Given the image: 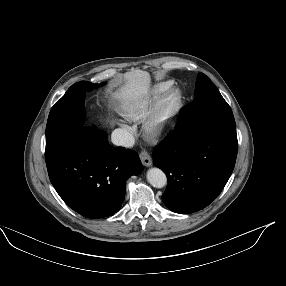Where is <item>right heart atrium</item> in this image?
I'll return each instance as SVG.
<instances>
[{
	"label": "right heart atrium",
	"mask_w": 286,
	"mask_h": 286,
	"mask_svg": "<svg viewBox=\"0 0 286 286\" xmlns=\"http://www.w3.org/2000/svg\"><path fill=\"white\" fill-rule=\"evenodd\" d=\"M119 124H120L122 127L126 128V129L129 128L128 125H127V124L125 123V121H123V120H119Z\"/></svg>",
	"instance_id": "obj_1"
}]
</instances>
